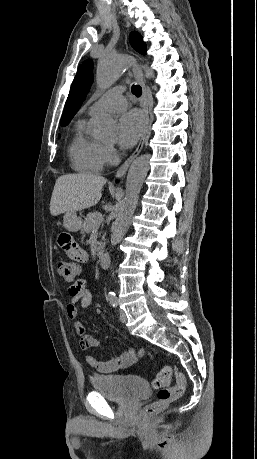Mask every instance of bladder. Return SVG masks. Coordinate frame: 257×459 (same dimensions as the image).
Returning <instances> with one entry per match:
<instances>
[{"instance_id": "bladder-1", "label": "bladder", "mask_w": 257, "mask_h": 459, "mask_svg": "<svg viewBox=\"0 0 257 459\" xmlns=\"http://www.w3.org/2000/svg\"><path fill=\"white\" fill-rule=\"evenodd\" d=\"M92 385L107 399L121 404L139 401L151 392L145 380L130 374L96 375L92 378Z\"/></svg>"}]
</instances>
